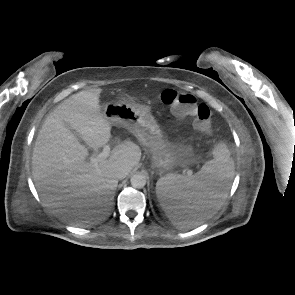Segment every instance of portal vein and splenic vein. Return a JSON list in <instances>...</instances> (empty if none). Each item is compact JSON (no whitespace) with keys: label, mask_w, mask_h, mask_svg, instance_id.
Here are the masks:
<instances>
[{"label":"portal vein and splenic vein","mask_w":295,"mask_h":295,"mask_svg":"<svg viewBox=\"0 0 295 295\" xmlns=\"http://www.w3.org/2000/svg\"><path fill=\"white\" fill-rule=\"evenodd\" d=\"M110 155V146L104 145L103 150L96 157L91 158V163L97 165L99 162L107 159Z\"/></svg>","instance_id":"1"}]
</instances>
